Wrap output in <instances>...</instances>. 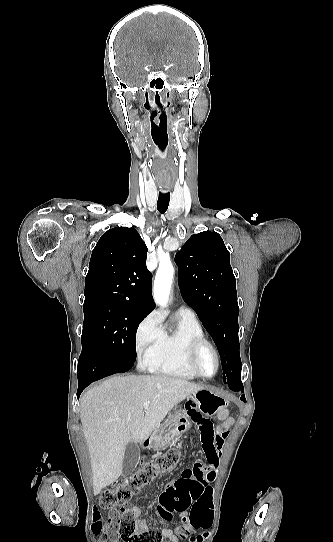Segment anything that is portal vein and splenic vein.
<instances>
[{"label":"portal vein and splenic vein","instance_id":"18ae733b","mask_svg":"<svg viewBox=\"0 0 333 542\" xmlns=\"http://www.w3.org/2000/svg\"><path fill=\"white\" fill-rule=\"evenodd\" d=\"M143 408H144V410H148L149 402H145V404H143Z\"/></svg>","mask_w":333,"mask_h":542}]
</instances>
